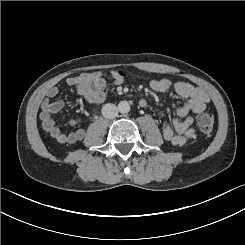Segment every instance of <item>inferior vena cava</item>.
Listing matches in <instances>:
<instances>
[{
	"mask_svg": "<svg viewBox=\"0 0 245 245\" xmlns=\"http://www.w3.org/2000/svg\"><path fill=\"white\" fill-rule=\"evenodd\" d=\"M102 115L106 119H114L118 115V109L114 104L107 103L102 107Z\"/></svg>",
	"mask_w": 245,
	"mask_h": 245,
	"instance_id": "inferior-vena-cava-1",
	"label": "inferior vena cava"
}]
</instances>
